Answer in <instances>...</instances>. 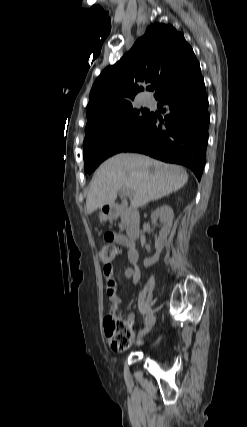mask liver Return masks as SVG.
<instances>
[{
	"mask_svg": "<svg viewBox=\"0 0 247 427\" xmlns=\"http://www.w3.org/2000/svg\"><path fill=\"white\" fill-rule=\"evenodd\" d=\"M187 181L188 174L181 166L140 154H117L97 169L88 190L86 211L91 214L113 204L120 190L132 192L131 206L136 209L176 192Z\"/></svg>",
	"mask_w": 247,
	"mask_h": 427,
	"instance_id": "1",
	"label": "liver"
}]
</instances>
